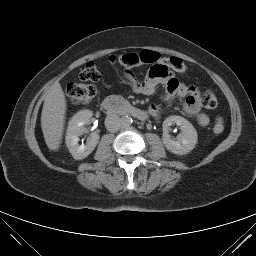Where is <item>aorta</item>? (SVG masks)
<instances>
[{
	"mask_svg": "<svg viewBox=\"0 0 256 256\" xmlns=\"http://www.w3.org/2000/svg\"><path fill=\"white\" fill-rule=\"evenodd\" d=\"M133 120L130 116H123L121 118V127L127 128L132 124Z\"/></svg>",
	"mask_w": 256,
	"mask_h": 256,
	"instance_id": "obj_1",
	"label": "aorta"
}]
</instances>
